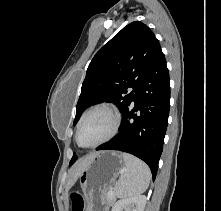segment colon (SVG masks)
Masks as SVG:
<instances>
[{"label": "colon", "mask_w": 221, "mask_h": 211, "mask_svg": "<svg viewBox=\"0 0 221 211\" xmlns=\"http://www.w3.org/2000/svg\"><path fill=\"white\" fill-rule=\"evenodd\" d=\"M73 211H84L85 202L83 197L79 193H73L71 196Z\"/></svg>", "instance_id": "colon-1"}]
</instances>
